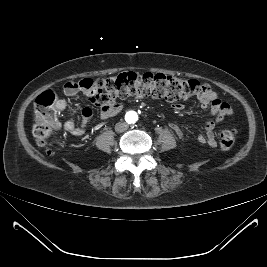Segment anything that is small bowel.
Here are the masks:
<instances>
[{
	"label": "small bowel",
	"instance_id": "c3829d8e",
	"mask_svg": "<svg viewBox=\"0 0 267 267\" xmlns=\"http://www.w3.org/2000/svg\"><path fill=\"white\" fill-rule=\"evenodd\" d=\"M64 94L66 96H74L78 93H88L77 86L75 81H69L64 85L63 88ZM198 102L202 109H210L212 114L216 116L217 122H222L224 118L232 113V109L228 103L223 102L218 95L207 86V89L204 93L198 95ZM100 107V117L104 120L111 119L117 116L121 110L122 106L116 101H108L102 104H99ZM176 109L181 110L183 105L178 104L175 106ZM56 109L59 113L64 114L67 110V103L63 99H59L56 102ZM92 110L89 107H86L82 110L81 123L76 125L72 120L66 119L62 127L63 129L74 136H83L86 133V124L92 117ZM171 129L177 135L178 138H183L184 133L179 125L175 123L170 124ZM198 142L201 144H206L210 147L216 146L215 138V122L213 120H208L205 123V133L198 136Z\"/></svg>",
	"mask_w": 267,
	"mask_h": 267
}]
</instances>
